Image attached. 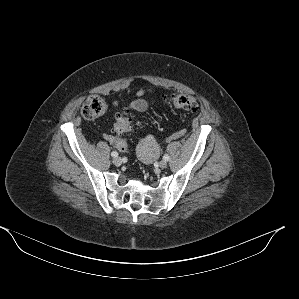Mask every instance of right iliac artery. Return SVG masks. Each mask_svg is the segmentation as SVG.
Here are the masks:
<instances>
[{
    "label": "right iliac artery",
    "instance_id": "right-iliac-artery-1",
    "mask_svg": "<svg viewBox=\"0 0 299 299\" xmlns=\"http://www.w3.org/2000/svg\"><path fill=\"white\" fill-rule=\"evenodd\" d=\"M111 156H112V157H117V156H118V153H117L116 151H113V152L111 153Z\"/></svg>",
    "mask_w": 299,
    "mask_h": 299
}]
</instances>
